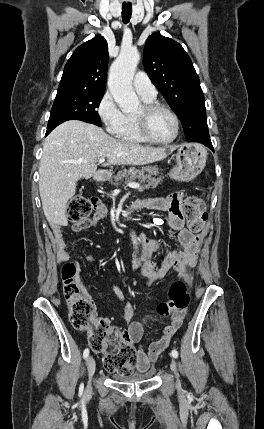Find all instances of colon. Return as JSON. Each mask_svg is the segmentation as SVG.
I'll return each mask as SVG.
<instances>
[{
    "instance_id": "5ec220e1",
    "label": "colon",
    "mask_w": 264,
    "mask_h": 429,
    "mask_svg": "<svg viewBox=\"0 0 264 429\" xmlns=\"http://www.w3.org/2000/svg\"><path fill=\"white\" fill-rule=\"evenodd\" d=\"M101 204L95 199L78 195L68 205V218L71 221L85 219L92 210H99ZM188 228L198 233L207 221L204 202L199 196H189L182 205ZM77 269L74 263L66 262L61 268L63 294L69 309L71 324L88 333L90 347L105 354L104 365L108 371L123 374L131 373L136 359L133 340L127 332H120L95 314L94 304L88 294L82 291L76 280ZM189 290L185 282L175 281L169 290L168 301L157 306V313L166 316L170 312L184 313L189 304Z\"/></svg>"
}]
</instances>
